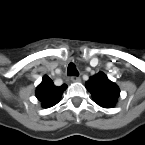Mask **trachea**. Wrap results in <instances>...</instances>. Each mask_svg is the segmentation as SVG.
Returning <instances> with one entry per match:
<instances>
[{
  "label": "trachea",
  "mask_w": 145,
  "mask_h": 145,
  "mask_svg": "<svg viewBox=\"0 0 145 145\" xmlns=\"http://www.w3.org/2000/svg\"><path fill=\"white\" fill-rule=\"evenodd\" d=\"M67 74L69 76H79V72L73 63H70L67 68Z\"/></svg>",
  "instance_id": "obj_1"
}]
</instances>
